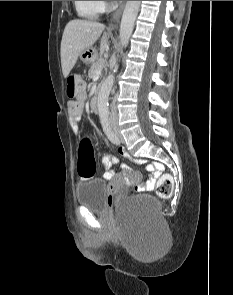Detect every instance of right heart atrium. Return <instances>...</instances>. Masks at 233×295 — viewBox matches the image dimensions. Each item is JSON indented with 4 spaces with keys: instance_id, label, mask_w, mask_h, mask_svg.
I'll list each match as a JSON object with an SVG mask.
<instances>
[{
    "instance_id": "d8ad5b80",
    "label": "right heart atrium",
    "mask_w": 233,
    "mask_h": 295,
    "mask_svg": "<svg viewBox=\"0 0 233 295\" xmlns=\"http://www.w3.org/2000/svg\"><path fill=\"white\" fill-rule=\"evenodd\" d=\"M100 3H101V6L104 8L106 5V1H100Z\"/></svg>"
}]
</instances>
